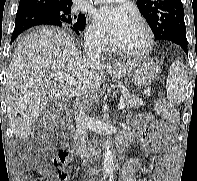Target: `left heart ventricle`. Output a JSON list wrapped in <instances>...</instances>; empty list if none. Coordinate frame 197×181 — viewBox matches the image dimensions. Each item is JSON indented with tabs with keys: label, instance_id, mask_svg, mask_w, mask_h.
<instances>
[{
	"label": "left heart ventricle",
	"instance_id": "left-heart-ventricle-1",
	"mask_svg": "<svg viewBox=\"0 0 197 181\" xmlns=\"http://www.w3.org/2000/svg\"><path fill=\"white\" fill-rule=\"evenodd\" d=\"M145 39L143 29L133 21L126 32L116 41V44L127 49H139L144 45Z\"/></svg>",
	"mask_w": 197,
	"mask_h": 181
}]
</instances>
